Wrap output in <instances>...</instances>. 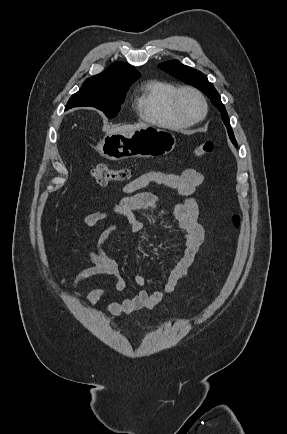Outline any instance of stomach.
<instances>
[{"instance_id": "0dacf381", "label": "stomach", "mask_w": 287, "mask_h": 434, "mask_svg": "<svg viewBox=\"0 0 287 434\" xmlns=\"http://www.w3.org/2000/svg\"><path fill=\"white\" fill-rule=\"evenodd\" d=\"M175 136L164 129L146 126L130 133H107L97 150L103 157L118 161L130 157L149 158L170 153Z\"/></svg>"}]
</instances>
